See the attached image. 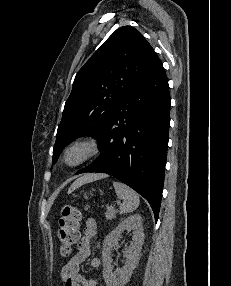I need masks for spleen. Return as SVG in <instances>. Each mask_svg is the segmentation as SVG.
I'll use <instances>...</instances> for the list:
<instances>
[{
    "mask_svg": "<svg viewBox=\"0 0 231 286\" xmlns=\"http://www.w3.org/2000/svg\"><path fill=\"white\" fill-rule=\"evenodd\" d=\"M113 186L117 197L123 202L120 206L121 213H130L137 209L139 206V195L127 185L114 181Z\"/></svg>",
    "mask_w": 231,
    "mask_h": 286,
    "instance_id": "spleen-1",
    "label": "spleen"
}]
</instances>
